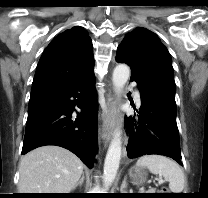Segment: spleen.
<instances>
[{
    "mask_svg": "<svg viewBox=\"0 0 208 198\" xmlns=\"http://www.w3.org/2000/svg\"><path fill=\"white\" fill-rule=\"evenodd\" d=\"M136 166L146 167L151 173L164 177L172 193L183 191L184 173L173 160L161 155H145L138 159Z\"/></svg>",
    "mask_w": 208,
    "mask_h": 198,
    "instance_id": "1",
    "label": "spleen"
}]
</instances>
